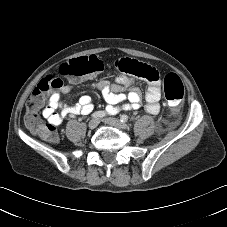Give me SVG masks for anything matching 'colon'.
I'll list each match as a JSON object with an SVG mask.
<instances>
[{
	"instance_id": "colon-1",
	"label": "colon",
	"mask_w": 227,
	"mask_h": 227,
	"mask_svg": "<svg viewBox=\"0 0 227 227\" xmlns=\"http://www.w3.org/2000/svg\"><path fill=\"white\" fill-rule=\"evenodd\" d=\"M103 69L104 65L96 55H87L65 62L60 67V74L73 80H81L95 76ZM127 71L146 80L158 78V73L152 66L137 60H131L128 63ZM163 84L166 104L172 108L178 107L184 97V87L180 77L175 73H168L164 77ZM62 86L61 78L48 75L37 84L27 101L26 126L48 142H55L58 134L54 126L44 124L40 120L38 111L44 104L48 93Z\"/></svg>"
}]
</instances>
